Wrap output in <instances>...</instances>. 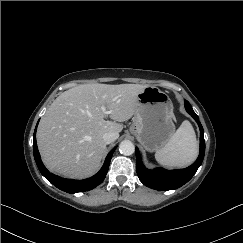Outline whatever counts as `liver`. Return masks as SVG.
<instances>
[{
    "mask_svg": "<svg viewBox=\"0 0 243 243\" xmlns=\"http://www.w3.org/2000/svg\"><path fill=\"white\" fill-rule=\"evenodd\" d=\"M139 84H82L59 95L42 117L37 144L45 166L59 175L82 179L100 167L106 143L103 134L116 139L137 108ZM102 106L107 114L102 111ZM113 121L105 120V117Z\"/></svg>",
    "mask_w": 243,
    "mask_h": 243,
    "instance_id": "1",
    "label": "liver"
}]
</instances>
